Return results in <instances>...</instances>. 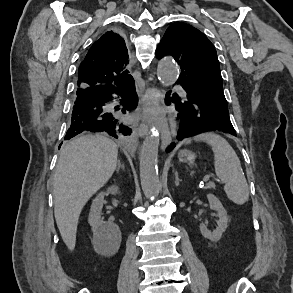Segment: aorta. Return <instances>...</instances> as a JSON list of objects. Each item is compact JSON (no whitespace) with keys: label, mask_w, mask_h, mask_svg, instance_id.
I'll use <instances>...</instances> for the list:
<instances>
[{"label":"aorta","mask_w":293,"mask_h":293,"mask_svg":"<svg viewBox=\"0 0 293 293\" xmlns=\"http://www.w3.org/2000/svg\"><path fill=\"white\" fill-rule=\"evenodd\" d=\"M157 75L164 86L173 85L179 76L174 60L170 57L161 59L158 63ZM158 148L159 132L153 129L143 141L139 157L141 187L147 199L156 198L161 189L157 166Z\"/></svg>","instance_id":"aorta-1"}]
</instances>
